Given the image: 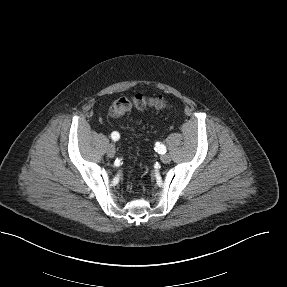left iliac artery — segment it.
<instances>
[{
  "mask_svg": "<svg viewBox=\"0 0 287 287\" xmlns=\"http://www.w3.org/2000/svg\"><path fill=\"white\" fill-rule=\"evenodd\" d=\"M155 150H156V152H158L159 154H165L166 151H167L166 146H165L164 144H162V143H159V142H157V143L155 144Z\"/></svg>",
  "mask_w": 287,
  "mask_h": 287,
  "instance_id": "obj_1",
  "label": "left iliac artery"
}]
</instances>
